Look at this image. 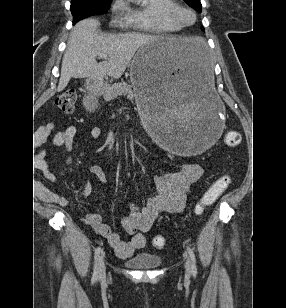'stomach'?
Here are the masks:
<instances>
[{"label": "stomach", "instance_id": "obj_1", "mask_svg": "<svg viewBox=\"0 0 286 308\" xmlns=\"http://www.w3.org/2000/svg\"><path fill=\"white\" fill-rule=\"evenodd\" d=\"M214 67L212 48L196 36H158L141 44L130 64L142 124L156 132L153 144H164L174 159L222 144L224 115L213 88ZM86 87L94 109L100 105L96 92L103 87L93 79L86 81Z\"/></svg>", "mask_w": 286, "mask_h": 308}]
</instances>
